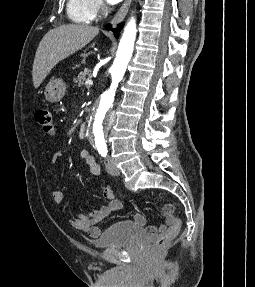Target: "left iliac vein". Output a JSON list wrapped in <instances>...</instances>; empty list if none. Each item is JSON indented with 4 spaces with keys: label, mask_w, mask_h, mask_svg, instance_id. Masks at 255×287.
Segmentation results:
<instances>
[{
    "label": "left iliac vein",
    "mask_w": 255,
    "mask_h": 287,
    "mask_svg": "<svg viewBox=\"0 0 255 287\" xmlns=\"http://www.w3.org/2000/svg\"><path fill=\"white\" fill-rule=\"evenodd\" d=\"M106 170L109 174L117 176L120 174V170L116 167L113 161L110 158H107L106 163Z\"/></svg>",
    "instance_id": "left-iliac-vein-1"
}]
</instances>
